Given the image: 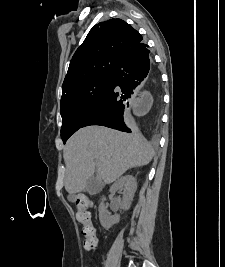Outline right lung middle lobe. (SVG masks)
<instances>
[{
    "instance_id": "obj_1",
    "label": "right lung middle lobe",
    "mask_w": 225,
    "mask_h": 267,
    "mask_svg": "<svg viewBox=\"0 0 225 267\" xmlns=\"http://www.w3.org/2000/svg\"><path fill=\"white\" fill-rule=\"evenodd\" d=\"M111 81L112 74L99 76L62 92L60 111L63 124L61 138L64 143L81 128L82 123L100 104Z\"/></svg>"
}]
</instances>
